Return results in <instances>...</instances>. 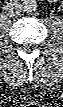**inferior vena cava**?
Returning a JSON list of instances; mask_svg holds the SVG:
<instances>
[{"label": "inferior vena cava", "instance_id": "1", "mask_svg": "<svg viewBox=\"0 0 63 107\" xmlns=\"http://www.w3.org/2000/svg\"><path fill=\"white\" fill-rule=\"evenodd\" d=\"M4 9L9 16H17L21 13L22 5L17 0L9 1Z\"/></svg>", "mask_w": 63, "mask_h": 107}]
</instances>
